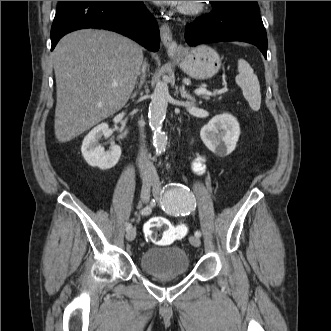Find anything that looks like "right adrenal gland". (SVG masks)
<instances>
[{
    "label": "right adrenal gland",
    "instance_id": "obj_1",
    "mask_svg": "<svg viewBox=\"0 0 331 331\" xmlns=\"http://www.w3.org/2000/svg\"><path fill=\"white\" fill-rule=\"evenodd\" d=\"M143 79H144V76H143V78H142V80H141V82L139 84V87H138L139 89L141 88V85L143 84ZM137 93H138V90L133 93V95L131 96V98L134 99L136 97Z\"/></svg>",
    "mask_w": 331,
    "mask_h": 331
}]
</instances>
